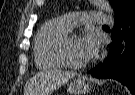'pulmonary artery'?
I'll list each match as a JSON object with an SVG mask.
<instances>
[{
  "label": "pulmonary artery",
  "mask_w": 135,
  "mask_h": 95,
  "mask_svg": "<svg viewBox=\"0 0 135 95\" xmlns=\"http://www.w3.org/2000/svg\"><path fill=\"white\" fill-rule=\"evenodd\" d=\"M64 24L72 29L85 22H95V23H110L111 18L105 12H94L91 15L73 12L67 13L59 17Z\"/></svg>",
  "instance_id": "1"
}]
</instances>
